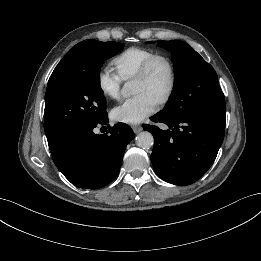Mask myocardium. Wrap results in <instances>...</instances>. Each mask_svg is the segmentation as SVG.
I'll use <instances>...</instances> for the list:
<instances>
[{"label": "myocardium", "instance_id": "obj_1", "mask_svg": "<svg viewBox=\"0 0 261 261\" xmlns=\"http://www.w3.org/2000/svg\"><path fill=\"white\" fill-rule=\"evenodd\" d=\"M158 62H164L169 70V84L166 91L158 98V104L167 103L172 97L177 83V72L176 67L172 59L165 54H156L152 56L141 68L138 74L135 76V79L147 80L150 78L155 65Z\"/></svg>", "mask_w": 261, "mask_h": 261}]
</instances>
